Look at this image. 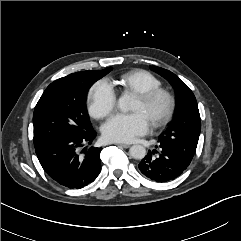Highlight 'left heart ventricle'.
<instances>
[{
  "instance_id": "b2bd125f",
  "label": "left heart ventricle",
  "mask_w": 241,
  "mask_h": 241,
  "mask_svg": "<svg viewBox=\"0 0 241 241\" xmlns=\"http://www.w3.org/2000/svg\"><path fill=\"white\" fill-rule=\"evenodd\" d=\"M165 108L166 102L163 99L156 101L151 106H147L139 98H136L132 107V111L143 112L148 117L150 122H152L164 113Z\"/></svg>"
}]
</instances>
